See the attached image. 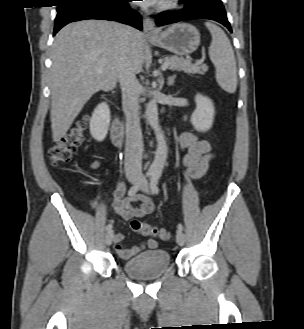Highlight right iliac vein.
Returning <instances> with one entry per match:
<instances>
[{
    "label": "right iliac vein",
    "instance_id": "obj_1",
    "mask_svg": "<svg viewBox=\"0 0 304 329\" xmlns=\"http://www.w3.org/2000/svg\"><path fill=\"white\" fill-rule=\"evenodd\" d=\"M129 180H130L131 183H135L136 182V178H134V177H131ZM113 238H114V232H113V230L108 231L107 234H106V237H105V243H106V245H111L112 242H113Z\"/></svg>",
    "mask_w": 304,
    "mask_h": 329
}]
</instances>
